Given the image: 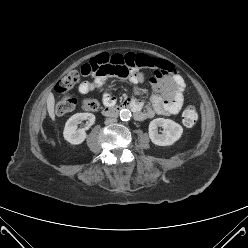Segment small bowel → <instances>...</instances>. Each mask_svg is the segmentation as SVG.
<instances>
[{
    "mask_svg": "<svg viewBox=\"0 0 248 248\" xmlns=\"http://www.w3.org/2000/svg\"><path fill=\"white\" fill-rule=\"evenodd\" d=\"M122 67L128 71V79L135 86L141 84L145 80L143 70H148L153 76L150 79L153 94L147 105L146 110H142L143 103L134 98L138 107L136 114L137 120H145L155 115H174L179 113L183 106L185 82L176 68L169 62L149 56L143 53H126L116 54ZM130 70V72H129ZM82 71L84 68L82 67ZM164 75L162 78H158ZM109 78V73L95 74L91 81H82L78 86L81 94H87L91 91L102 92V101L105 106H113L116 98L104 91V86Z\"/></svg>",
    "mask_w": 248,
    "mask_h": 248,
    "instance_id": "1",
    "label": "small bowel"
}]
</instances>
